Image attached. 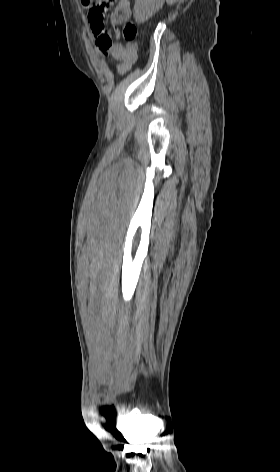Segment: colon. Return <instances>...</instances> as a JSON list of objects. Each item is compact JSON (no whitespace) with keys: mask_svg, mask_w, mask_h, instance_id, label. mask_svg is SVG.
<instances>
[{"mask_svg":"<svg viewBox=\"0 0 280 472\" xmlns=\"http://www.w3.org/2000/svg\"><path fill=\"white\" fill-rule=\"evenodd\" d=\"M86 4H90L92 0H83ZM116 0H100L96 2L89 11L88 20L89 22L97 25H104V16L106 9L114 4ZM122 34L127 42V47L130 50L135 49V39L137 36V28L134 23L127 21L123 24Z\"/></svg>","mask_w":280,"mask_h":472,"instance_id":"obj_1","label":"colon"}]
</instances>
